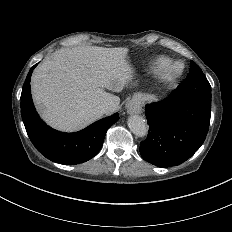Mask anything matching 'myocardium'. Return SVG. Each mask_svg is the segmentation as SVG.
Segmentation results:
<instances>
[{
    "label": "myocardium",
    "mask_w": 232,
    "mask_h": 232,
    "mask_svg": "<svg viewBox=\"0 0 232 232\" xmlns=\"http://www.w3.org/2000/svg\"><path fill=\"white\" fill-rule=\"evenodd\" d=\"M184 71V65L182 63H173L163 74L162 78L167 81H172L178 78Z\"/></svg>",
    "instance_id": "f54148a6"
}]
</instances>
